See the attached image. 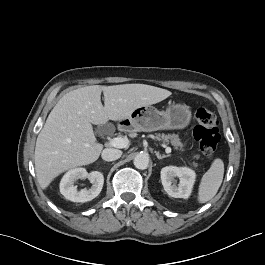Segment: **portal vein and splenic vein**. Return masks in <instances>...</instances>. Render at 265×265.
Wrapping results in <instances>:
<instances>
[{"label": "portal vein and splenic vein", "mask_w": 265, "mask_h": 265, "mask_svg": "<svg viewBox=\"0 0 265 265\" xmlns=\"http://www.w3.org/2000/svg\"><path fill=\"white\" fill-rule=\"evenodd\" d=\"M109 144L115 148H126L129 145V140L122 138V137H116V138L110 139ZM165 151L166 153H170L171 148L166 147Z\"/></svg>", "instance_id": "1"}]
</instances>
